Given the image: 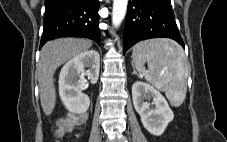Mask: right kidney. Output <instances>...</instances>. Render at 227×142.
<instances>
[{"label":"right kidney","mask_w":227,"mask_h":142,"mask_svg":"<svg viewBox=\"0 0 227 142\" xmlns=\"http://www.w3.org/2000/svg\"><path fill=\"white\" fill-rule=\"evenodd\" d=\"M99 69L100 56L95 50L80 53L63 66L59 75V95L68 111L83 114L88 110L90 98L82 93L85 76L95 84L98 81Z\"/></svg>","instance_id":"right-kidney-1"}]
</instances>
